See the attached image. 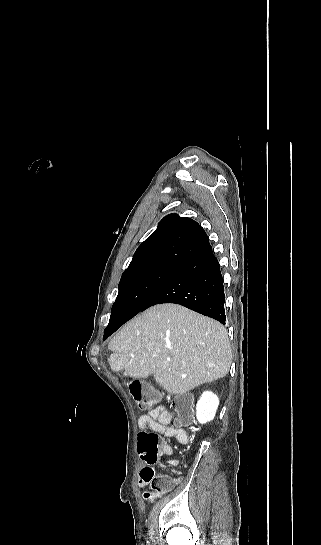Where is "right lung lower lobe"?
<instances>
[{
	"instance_id": "right-lung-lower-lobe-1",
	"label": "right lung lower lobe",
	"mask_w": 321,
	"mask_h": 545,
	"mask_svg": "<svg viewBox=\"0 0 321 545\" xmlns=\"http://www.w3.org/2000/svg\"><path fill=\"white\" fill-rule=\"evenodd\" d=\"M161 303L180 304L225 324L223 277L210 244L178 267L140 312ZM128 320L110 322L103 339Z\"/></svg>"
}]
</instances>
